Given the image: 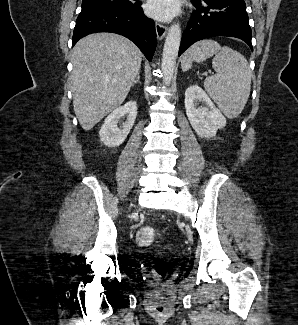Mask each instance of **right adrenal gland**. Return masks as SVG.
I'll return each instance as SVG.
<instances>
[{
    "label": "right adrenal gland",
    "mask_w": 298,
    "mask_h": 325,
    "mask_svg": "<svg viewBox=\"0 0 298 325\" xmlns=\"http://www.w3.org/2000/svg\"><path fill=\"white\" fill-rule=\"evenodd\" d=\"M135 82H140V72H138V74H137L135 80H133L131 86H134Z\"/></svg>",
    "instance_id": "2a0ac1e0"
}]
</instances>
